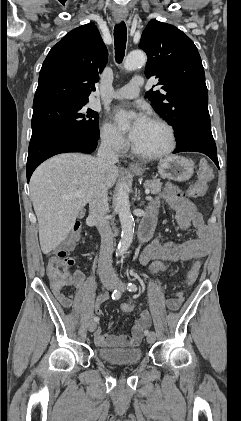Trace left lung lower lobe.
<instances>
[{
  "mask_svg": "<svg viewBox=\"0 0 241 421\" xmlns=\"http://www.w3.org/2000/svg\"><path fill=\"white\" fill-rule=\"evenodd\" d=\"M174 153L184 151L201 152L209 156L219 168L216 144L214 142L210 122L201 123L190 134L180 140Z\"/></svg>",
  "mask_w": 241,
  "mask_h": 421,
  "instance_id": "left-lung-lower-lobe-1",
  "label": "left lung lower lobe"
}]
</instances>
